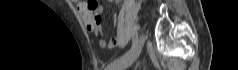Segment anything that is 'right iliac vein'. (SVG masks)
Returning <instances> with one entry per match:
<instances>
[{"mask_svg":"<svg viewBox=\"0 0 238 70\" xmlns=\"http://www.w3.org/2000/svg\"><path fill=\"white\" fill-rule=\"evenodd\" d=\"M144 43V36L141 37L134 51L124 60L119 62L112 70H124L128 68L139 56Z\"/></svg>","mask_w":238,"mask_h":70,"instance_id":"obj_1","label":"right iliac vein"}]
</instances>
